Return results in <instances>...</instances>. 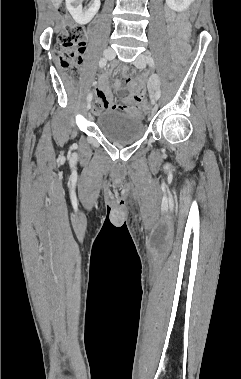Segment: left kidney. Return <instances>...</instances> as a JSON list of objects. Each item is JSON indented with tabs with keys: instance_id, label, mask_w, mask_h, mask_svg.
Instances as JSON below:
<instances>
[{
	"instance_id": "left-kidney-1",
	"label": "left kidney",
	"mask_w": 241,
	"mask_h": 379,
	"mask_svg": "<svg viewBox=\"0 0 241 379\" xmlns=\"http://www.w3.org/2000/svg\"><path fill=\"white\" fill-rule=\"evenodd\" d=\"M194 0H166V4L174 11L181 12L186 10Z\"/></svg>"
}]
</instances>
